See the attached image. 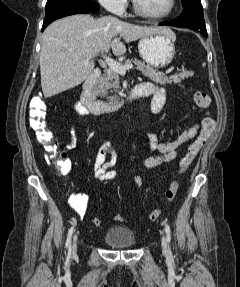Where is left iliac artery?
<instances>
[{"instance_id": "obj_1", "label": "left iliac artery", "mask_w": 240, "mask_h": 287, "mask_svg": "<svg viewBox=\"0 0 240 287\" xmlns=\"http://www.w3.org/2000/svg\"><path fill=\"white\" fill-rule=\"evenodd\" d=\"M165 231H166V234H167V242L170 243L171 241V230H170V226L169 225H165Z\"/></svg>"}]
</instances>
